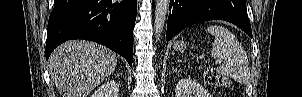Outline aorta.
<instances>
[{
	"label": "aorta",
	"mask_w": 302,
	"mask_h": 97,
	"mask_svg": "<svg viewBox=\"0 0 302 97\" xmlns=\"http://www.w3.org/2000/svg\"><path fill=\"white\" fill-rule=\"evenodd\" d=\"M169 2V0H156L154 30L155 37L157 40L160 39L161 33L165 25V21L167 19Z\"/></svg>",
	"instance_id": "obj_1"
}]
</instances>
